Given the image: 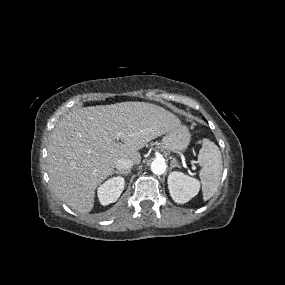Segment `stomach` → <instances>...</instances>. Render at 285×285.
Here are the masks:
<instances>
[{"instance_id":"0dacf381","label":"stomach","mask_w":285,"mask_h":285,"mask_svg":"<svg viewBox=\"0 0 285 285\" xmlns=\"http://www.w3.org/2000/svg\"><path fill=\"white\" fill-rule=\"evenodd\" d=\"M191 134L186 126L179 125L170 130L161 141V148L167 152H183L187 149Z\"/></svg>"}]
</instances>
